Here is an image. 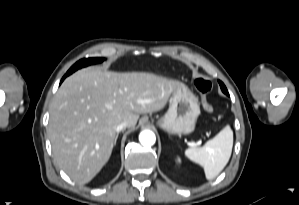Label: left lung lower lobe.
Returning <instances> with one entry per match:
<instances>
[{
	"label": "left lung lower lobe",
	"instance_id": "1",
	"mask_svg": "<svg viewBox=\"0 0 299 205\" xmlns=\"http://www.w3.org/2000/svg\"><path fill=\"white\" fill-rule=\"evenodd\" d=\"M226 95H229L228 92L225 93Z\"/></svg>",
	"mask_w": 299,
	"mask_h": 205
}]
</instances>
